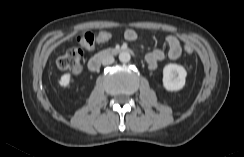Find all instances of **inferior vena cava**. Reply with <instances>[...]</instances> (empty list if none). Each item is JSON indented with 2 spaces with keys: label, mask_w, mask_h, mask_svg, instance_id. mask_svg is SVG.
Returning a JSON list of instances; mask_svg holds the SVG:
<instances>
[{
  "label": "inferior vena cava",
  "mask_w": 244,
  "mask_h": 157,
  "mask_svg": "<svg viewBox=\"0 0 244 157\" xmlns=\"http://www.w3.org/2000/svg\"><path fill=\"white\" fill-rule=\"evenodd\" d=\"M114 62V57L112 55H106L102 58V64L105 65H110Z\"/></svg>",
  "instance_id": "1"
}]
</instances>
